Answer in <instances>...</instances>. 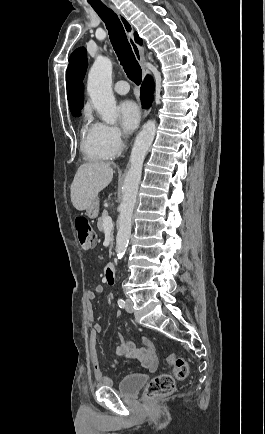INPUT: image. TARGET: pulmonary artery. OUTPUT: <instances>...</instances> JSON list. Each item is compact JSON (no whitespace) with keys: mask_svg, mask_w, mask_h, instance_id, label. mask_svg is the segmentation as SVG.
<instances>
[{"mask_svg":"<svg viewBox=\"0 0 265 434\" xmlns=\"http://www.w3.org/2000/svg\"><path fill=\"white\" fill-rule=\"evenodd\" d=\"M130 87H131L130 81H117V83L114 86V90L117 93L124 95L130 90Z\"/></svg>","mask_w":265,"mask_h":434,"instance_id":"e3ab8cb5","label":"pulmonary artery"}]
</instances>
